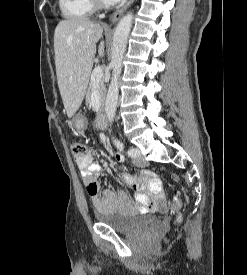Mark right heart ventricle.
I'll use <instances>...</instances> for the list:
<instances>
[{
	"label": "right heart ventricle",
	"mask_w": 247,
	"mask_h": 275,
	"mask_svg": "<svg viewBox=\"0 0 247 275\" xmlns=\"http://www.w3.org/2000/svg\"><path fill=\"white\" fill-rule=\"evenodd\" d=\"M59 8L66 19H87L95 11L92 0H59Z\"/></svg>",
	"instance_id": "right-heart-ventricle-1"
}]
</instances>
